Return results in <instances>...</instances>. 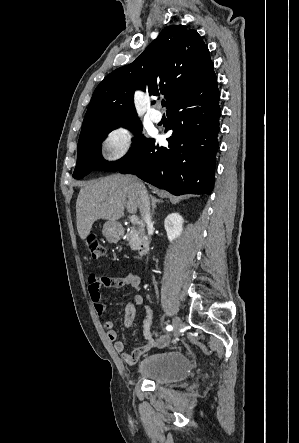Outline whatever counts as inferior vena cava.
<instances>
[{
	"label": "inferior vena cava",
	"mask_w": 299,
	"mask_h": 443,
	"mask_svg": "<svg viewBox=\"0 0 299 443\" xmlns=\"http://www.w3.org/2000/svg\"><path fill=\"white\" fill-rule=\"evenodd\" d=\"M134 189L138 195L140 204L139 210L142 216V219L146 224H150L151 221V212H150V199L144 184L140 181L134 182Z\"/></svg>",
	"instance_id": "602c4592"
}]
</instances>
